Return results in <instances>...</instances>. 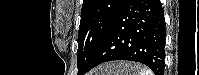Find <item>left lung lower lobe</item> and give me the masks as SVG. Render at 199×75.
Wrapping results in <instances>:
<instances>
[{"label": "left lung lower lobe", "mask_w": 199, "mask_h": 75, "mask_svg": "<svg viewBox=\"0 0 199 75\" xmlns=\"http://www.w3.org/2000/svg\"><path fill=\"white\" fill-rule=\"evenodd\" d=\"M165 36L164 12L159 0H124L82 75L112 60L140 62L156 75H163Z\"/></svg>", "instance_id": "obj_1"}]
</instances>
